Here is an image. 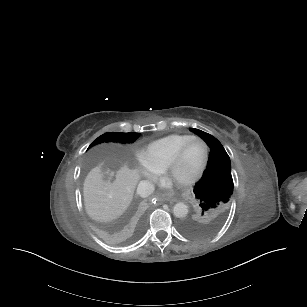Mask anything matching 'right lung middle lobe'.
Wrapping results in <instances>:
<instances>
[{
    "mask_svg": "<svg viewBox=\"0 0 307 307\" xmlns=\"http://www.w3.org/2000/svg\"><path fill=\"white\" fill-rule=\"evenodd\" d=\"M140 136V133H114V132H108L101 136H99L90 146H94L96 144L102 143V142H119V143H132L134 142L138 137ZM88 148V149H89Z\"/></svg>",
    "mask_w": 307,
    "mask_h": 307,
    "instance_id": "1",
    "label": "right lung middle lobe"
}]
</instances>
